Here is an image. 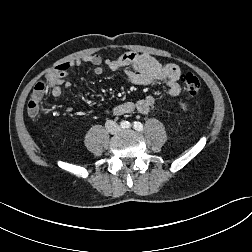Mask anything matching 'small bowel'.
Wrapping results in <instances>:
<instances>
[{"label":"small bowel","instance_id":"c3829d8e","mask_svg":"<svg viewBox=\"0 0 252 252\" xmlns=\"http://www.w3.org/2000/svg\"><path fill=\"white\" fill-rule=\"evenodd\" d=\"M83 63H89L93 66L95 74L103 73V65H106L112 71L123 70L129 83L135 85H152L162 83L168 89V94L172 97L178 96L181 92L178 80L181 76V69L174 63H160L155 58L147 54L126 52L114 59H103L98 54L85 55L73 61L67 62L59 67V77L56 81L52 79V74L47 75L49 88L54 98H59L62 94V88L69 89L71 83L64 78L72 66H80ZM155 99L152 95H147L137 102H124L112 109L115 115H124L132 112H138L141 115H147L152 110Z\"/></svg>","mask_w":252,"mask_h":252}]
</instances>
